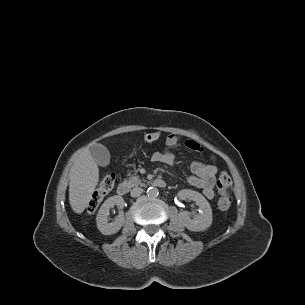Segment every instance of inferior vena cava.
<instances>
[{"instance_id":"obj_1","label":"inferior vena cava","mask_w":305,"mask_h":305,"mask_svg":"<svg viewBox=\"0 0 305 305\" xmlns=\"http://www.w3.org/2000/svg\"><path fill=\"white\" fill-rule=\"evenodd\" d=\"M142 192H143V189L142 188H140V187H135V188H133L132 190H131V196L132 197H138V196H140L141 194H142Z\"/></svg>"}]
</instances>
